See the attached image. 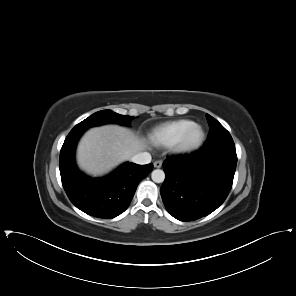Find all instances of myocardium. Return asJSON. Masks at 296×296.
I'll list each match as a JSON object with an SVG mask.
<instances>
[{
    "label": "myocardium",
    "instance_id": "f54148a6",
    "mask_svg": "<svg viewBox=\"0 0 296 296\" xmlns=\"http://www.w3.org/2000/svg\"><path fill=\"white\" fill-rule=\"evenodd\" d=\"M193 129H197L199 131V135L195 142L188 144L186 143V138L188 134L191 132V130ZM204 138H205L204 128L200 124L192 123L170 145L171 151L176 154L193 153L201 147V145L203 144Z\"/></svg>",
    "mask_w": 296,
    "mask_h": 296
}]
</instances>
